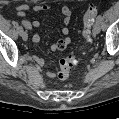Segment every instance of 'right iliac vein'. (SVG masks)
Segmentation results:
<instances>
[{
    "mask_svg": "<svg viewBox=\"0 0 119 119\" xmlns=\"http://www.w3.org/2000/svg\"><path fill=\"white\" fill-rule=\"evenodd\" d=\"M21 37H22V39H23L24 41H27V39H28V34H27V32L23 31L22 34H21Z\"/></svg>",
    "mask_w": 119,
    "mask_h": 119,
    "instance_id": "right-iliac-vein-1",
    "label": "right iliac vein"
}]
</instances>
